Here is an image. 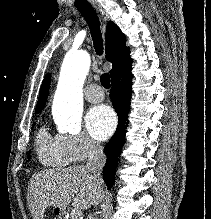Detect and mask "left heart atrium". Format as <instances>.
<instances>
[{"label":"left heart atrium","mask_w":211,"mask_h":219,"mask_svg":"<svg viewBox=\"0 0 211 219\" xmlns=\"http://www.w3.org/2000/svg\"><path fill=\"white\" fill-rule=\"evenodd\" d=\"M86 127L89 134L98 140L107 139L116 127V117L106 105L93 107L86 116Z\"/></svg>","instance_id":"left-heart-atrium-1"}]
</instances>
